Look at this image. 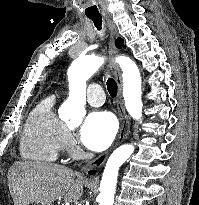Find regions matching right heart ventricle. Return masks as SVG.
<instances>
[{
    "label": "right heart ventricle",
    "instance_id": "right-heart-ventricle-1",
    "mask_svg": "<svg viewBox=\"0 0 199 205\" xmlns=\"http://www.w3.org/2000/svg\"><path fill=\"white\" fill-rule=\"evenodd\" d=\"M54 103V96H49L29 114L20 141V152L25 159L53 163L63 149L67 130L54 111Z\"/></svg>",
    "mask_w": 199,
    "mask_h": 205
}]
</instances>
